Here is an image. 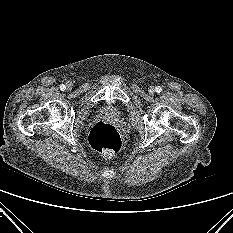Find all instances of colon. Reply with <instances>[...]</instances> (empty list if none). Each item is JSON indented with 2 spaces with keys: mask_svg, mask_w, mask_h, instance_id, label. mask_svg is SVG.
<instances>
[{
  "mask_svg": "<svg viewBox=\"0 0 233 233\" xmlns=\"http://www.w3.org/2000/svg\"><path fill=\"white\" fill-rule=\"evenodd\" d=\"M91 148L105 156L111 157L119 152L122 146V138L118 130L110 123L97 122L89 133Z\"/></svg>",
  "mask_w": 233,
  "mask_h": 233,
  "instance_id": "obj_1",
  "label": "colon"
}]
</instances>
